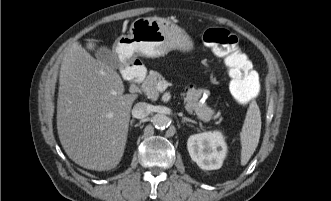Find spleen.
I'll return each instance as SVG.
<instances>
[{"label": "spleen", "instance_id": "1", "mask_svg": "<svg viewBox=\"0 0 331 201\" xmlns=\"http://www.w3.org/2000/svg\"><path fill=\"white\" fill-rule=\"evenodd\" d=\"M261 132V113L258 105L252 102L247 110L242 131L241 141V165H246L255 152Z\"/></svg>", "mask_w": 331, "mask_h": 201}]
</instances>
